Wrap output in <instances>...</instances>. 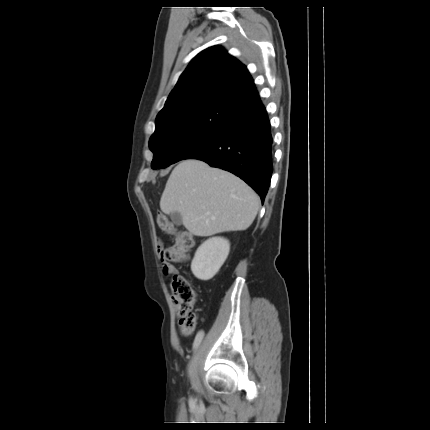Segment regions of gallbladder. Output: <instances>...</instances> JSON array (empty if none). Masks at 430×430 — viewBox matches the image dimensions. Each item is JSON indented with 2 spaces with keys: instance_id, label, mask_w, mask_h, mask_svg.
<instances>
[{
  "instance_id": "bac80fb5",
  "label": "gallbladder",
  "mask_w": 430,
  "mask_h": 430,
  "mask_svg": "<svg viewBox=\"0 0 430 430\" xmlns=\"http://www.w3.org/2000/svg\"><path fill=\"white\" fill-rule=\"evenodd\" d=\"M171 220L177 226H180L182 224V217L178 212H174L171 214Z\"/></svg>"
}]
</instances>
